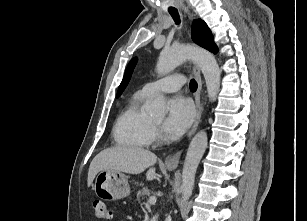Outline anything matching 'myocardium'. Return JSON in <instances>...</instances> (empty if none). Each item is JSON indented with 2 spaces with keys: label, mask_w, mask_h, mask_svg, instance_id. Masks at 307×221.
Returning a JSON list of instances; mask_svg holds the SVG:
<instances>
[{
  "label": "myocardium",
  "mask_w": 307,
  "mask_h": 221,
  "mask_svg": "<svg viewBox=\"0 0 307 221\" xmlns=\"http://www.w3.org/2000/svg\"><path fill=\"white\" fill-rule=\"evenodd\" d=\"M153 125H154V129H158L159 123H157L156 121H153Z\"/></svg>",
  "instance_id": "obj_1"
}]
</instances>
